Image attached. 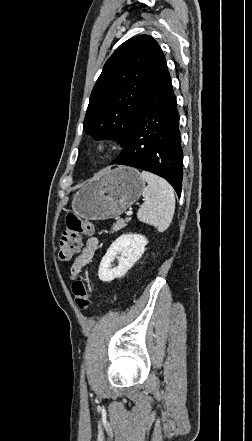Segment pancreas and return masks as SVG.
Masks as SVG:
<instances>
[{"instance_id": "1", "label": "pancreas", "mask_w": 252, "mask_h": 441, "mask_svg": "<svg viewBox=\"0 0 252 441\" xmlns=\"http://www.w3.org/2000/svg\"><path fill=\"white\" fill-rule=\"evenodd\" d=\"M126 220H118L115 224H113L111 232H118L126 226Z\"/></svg>"}]
</instances>
